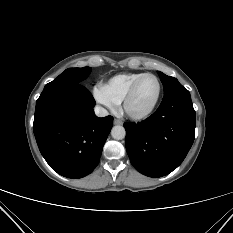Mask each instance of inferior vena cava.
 <instances>
[{
  "label": "inferior vena cava",
  "instance_id": "obj_1",
  "mask_svg": "<svg viewBox=\"0 0 233 233\" xmlns=\"http://www.w3.org/2000/svg\"><path fill=\"white\" fill-rule=\"evenodd\" d=\"M94 111H95V114L98 117H105V116H107L109 114L108 111L105 108L101 107V106H96L94 108Z\"/></svg>",
  "mask_w": 233,
  "mask_h": 233
}]
</instances>
